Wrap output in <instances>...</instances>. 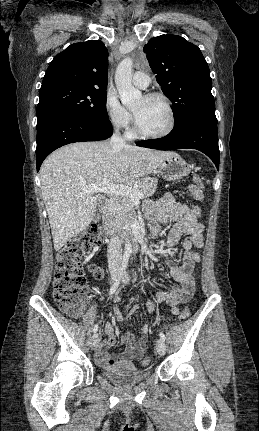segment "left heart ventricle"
<instances>
[{
	"mask_svg": "<svg viewBox=\"0 0 259 431\" xmlns=\"http://www.w3.org/2000/svg\"><path fill=\"white\" fill-rule=\"evenodd\" d=\"M133 113L140 128L147 133L161 132L168 124L167 109L159 99L142 97L133 107Z\"/></svg>",
	"mask_w": 259,
	"mask_h": 431,
	"instance_id": "b2bd125f",
	"label": "left heart ventricle"
}]
</instances>
